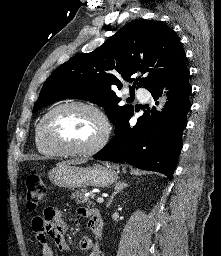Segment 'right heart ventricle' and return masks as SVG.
Listing matches in <instances>:
<instances>
[{
  "instance_id": "e07e8e85",
  "label": "right heart ventricle",
  "mask_w": 221,
  "mask_h": 256,
  "mask_svg": "<svg viewBox=\"0 0 221 256\" xmlns=\"http://www.w3.org/2000/svg\"><path fill=\"white\" fill-rule=\"evenodd\" d=\"M34 140H35V146L39 153L45 156H54L57 154L55 151L49 149L41 142L39 138V123L36 125V128H35Z\"/></svg>"
}]
</instances>
